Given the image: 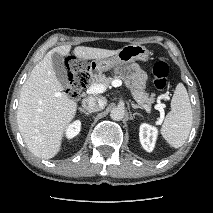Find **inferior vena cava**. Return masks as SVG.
Masks as SVG:
<instances>
[{
  "mask_svg": "<svg viewBox=\"0 0 213 213\" xmlns=\"http://www.w3.org/2000/svg\"><path fill=\"white\" fill-rule=\"evenodd\" d=\"M107 100L104 97L94 98L88 97L83 99L82 107L88 112H97L102 110L106 106Z\"/></svg>",
  "mask_w": 213,
  "mask_h": 213,
  "instance_id": "obj_1",
  "label": "inferior vena cava"
}]
</instances>
